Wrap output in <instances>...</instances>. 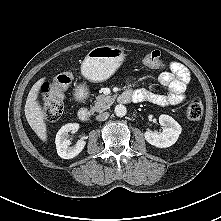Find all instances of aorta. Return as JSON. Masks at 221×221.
Here are the masks:
<instances>
[{
	"label": "aorta",
	"mask_w": 221,
	"mask_h": 221,
	"mask_svg": "<svg viewBox=\"0 0 221 221\" xmlns=\"http://www.w3.org/2000/svg\"><path fill=\"white\" fill-rule=\"evenodd\" d=\"M114 112H115L116 116L123 117L126 115L127 109L124 105L120 104L115 107Z\"/></svg>",
	"instance_id": "obj_1"
}]
</instances>
